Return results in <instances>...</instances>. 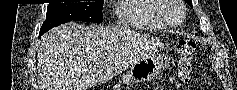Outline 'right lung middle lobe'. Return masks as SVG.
<instances>
[{"instance_id":"1","label":"right lung middle lobe","mask_w":237,"mask_h":90,"mask_svg":"<svg viewBox=\"0 0 237 90\" xmlns=\"http://www.w3.org/2000/svg\"><path fill=\"white\" fill-rule=\"evenodd\" d=\"M103 2V0H98L95 2L49 4L46 20L40 29L39 36L49 29L69 21L101 23L103 21L101 11Z\"/></svg>"}]
</instances>
